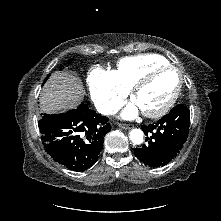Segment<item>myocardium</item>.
<instances>
[{"label":"myocardium","instance_id":"obj_1","mask_svg":"<svg viewBox=\"0 0 221 221\" xmlns=\"http://www.w3.org/2000/svg\"><path fill=\"white\" fill-rule=\"evenodd\" d=\"M163 71H174L178 75V83L177 87L170 97V99L159 109L154 111H142L143 115L148 118H158L165 115L176 103L183 86V75L181 71L173 66V65H162L154 67L148 70L132 87L131 89V99L134 101L136 95L139 93L141 89H143L146 85H148L152 79L159 73Z\"/></svg>","mask_w":221,"mask_h":221}]
</instances>
